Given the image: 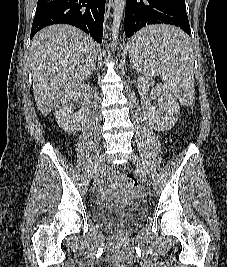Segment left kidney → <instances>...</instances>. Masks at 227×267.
I'll return each mask as SVG.
<instances>
[{"label":"left kidney","instance_id":"1","mask_svg":"<svg viewBox=\"0 0 227 267\" xmlns=\"http://www.w3.org/2000/svg\"><path fill=\"white\" fill-rule=\"evenodd\" d=\"M138 92L140 93L143 106L147 110L148 123L156 131H167L171 129L180 114V106L171 92L162 84H156V95L163 101L158 107L148 104L146 93L154 85V81L150 77H139L137 80Z\"/></svg>","mask_w":227,"mask_h":267}]
</instances>
